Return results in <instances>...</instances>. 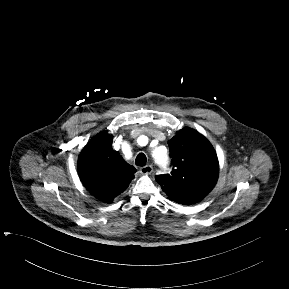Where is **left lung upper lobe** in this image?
Segmentation results:
<instances>
[{
  "instance_id": "obj_1",
  "label": "left lung upper lobe",
  "mask_w": 289,
  "mask_h": 289,
  "mask_svg": "<svg viewBox=\"0 0 289 289\" xmlns=\"http://www.w3.org/2000/svg\"><path fill=\"white\" fill-rule=\"evenodd\" d=\"M171 175H157L156 181L168 197L191 205L203 199L215 186L218 159L209 141L197 131L184 128L169 141Z\"/></svg>"
}]
</instances>
